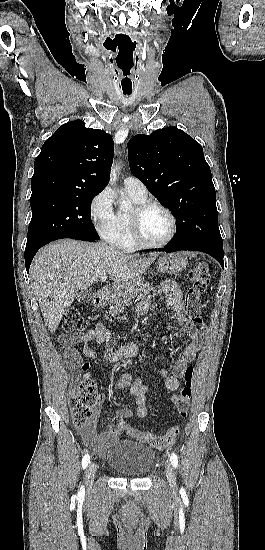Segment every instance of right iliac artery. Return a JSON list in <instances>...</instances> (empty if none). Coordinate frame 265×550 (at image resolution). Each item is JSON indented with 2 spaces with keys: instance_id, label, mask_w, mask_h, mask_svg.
I'll return each mask as SVG.
<instances>
[{
  "instance_id": "1",
  "label": "right iliac artery",
  "mask_w": 265,
  "mask_h": 550,
  "mask_svg": "<svg viewBox=\"0 0 265 550\" xmlns=\"http://www.w3.org/2000/svg\"><path fill=\"white\" fill-rule=\"evenodd\" d=\"M90 462V457L88 454H86L83 459H82V467L83 469H85L87 466H88V463ZM85 490L83 488V486L81 487L80 491H79V494H84Z\"/></svg>"
}]
</instances>
